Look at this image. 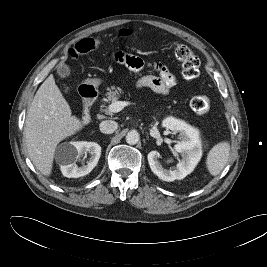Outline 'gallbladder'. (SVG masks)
Returning <instances> with one entry per match:
<instances>
[{"instance_id":"obj_1","label":"gallbladder","mask_w":267,"mask_h":267,"mask_svg":"<svg viewBox=\"0 0 267 267\" xmlns=\"http://www.w3.org/2000/svg\"><path fill=\"white\" fill-rule=\"evenodd\" d=\"M70 67L66 64H59L57 66V74L60 78H67L70 75Z\"/></svg>"}]
</instances>
